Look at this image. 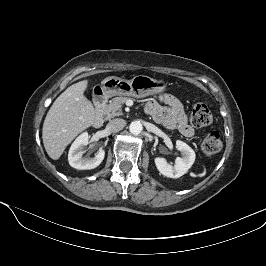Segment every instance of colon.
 <instances>
[{
  "mask_svg": "<svg viewBox=\"0 0 266 266\" xmlns=\"http://www.w3.org/2000/svg\"><path fill=\"white\" fill-rule=\"evenodd\" d=\"M190 120L194 127L202 128L212 123L213 116L205 104L197 103L193 106ZM221 149L222 141L216 131L208 133L201 143V150L208 157L215 156Z\"/></svg>",
  "mask_w": 266,
  "mask_h": 266,
  "instance_id": "1",
  "label": "colon"
}]
</instances>
